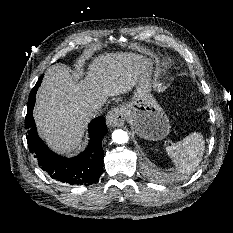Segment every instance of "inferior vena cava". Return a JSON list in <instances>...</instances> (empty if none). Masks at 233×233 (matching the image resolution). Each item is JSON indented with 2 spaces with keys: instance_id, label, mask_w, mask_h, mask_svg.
<instances>
[{
  "instance_id": "602c4592",
  "label": "inferior vena cava",
  "mask_w": 233,
  "mask_h": 233,
  "mask_svg": "<svg viewBox=\"0 0 233 233\" xmlns=\"http://www.w3.org/2000/svg\"><path fill=\"white\" fill-rule=\"evenodd\" d=\"M102 106H103V104L98 102V103L93 105L92 109H93V111H97V110L101 109Z\"/></svg>"
}]
</instances>
